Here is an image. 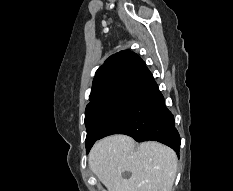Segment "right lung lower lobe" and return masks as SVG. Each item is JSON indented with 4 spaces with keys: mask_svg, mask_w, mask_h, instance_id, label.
<instances>
[{
    "mask_svg": "<svg viewBox=\"0 0 233 191\" xmlns=\"http://www.w3.org/2000/svg\"><path fill=\"white\" fill-rule=\"evenodd\" d=\"M127 91L126 105L98 139L111 134H126L138 142H161L179 154L180 136L175 128L174 116L165 106L164 97L148 68Z\"/></svg>",
    "mask_w": 233,
    "mask_h": 191,
    "instance_id": "right-lung-lower-lobe-1",
    "label": "right lung lower lobe"
}]
</instances>
